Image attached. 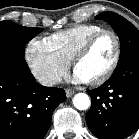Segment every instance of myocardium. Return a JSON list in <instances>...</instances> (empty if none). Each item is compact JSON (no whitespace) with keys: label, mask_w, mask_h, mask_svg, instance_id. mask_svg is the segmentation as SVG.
<instances>
[{"label":"myocardium","mask_w":139,"mask_h":139,"mask_svg":"<svg viewBox=\"0 0 139 139\" xmlns=\"http://www.w3.org/2000/svg\"><path fill=\"white\" fill-rule=\"evenodd\" d=\"M104 35H110L115 44V53L113 56V59L107 68V70L98 78L94 79L91 81L92 84L95 85H100L105 83L107 80H109L112 75L115 73V71L118 68V65L120 63L121 59V52H122V47H121V41L119 36L114 32L113 30L109 29H102L92 36H90L75 52L73 58H72V65L74 69H76L77 63L80 61L81 58H83L94 46V44Z\"/></svg>","instance_id":"obj_1"}]
</instances>
